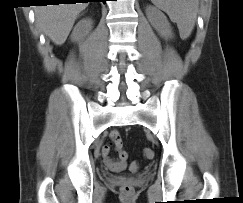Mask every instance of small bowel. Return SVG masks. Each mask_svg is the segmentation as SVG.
Masks as SVG:
<instances>
[{
	"label": "small bowel",
	"instance_id": "c3829d8e",
	"mask_svg": "<svg viewBox=\"0 0 243 203\" xmlns=\"http://www.w3.org/2000/svg\"><path fill=\"white\" fill-rule=\"evenodd\" d=\"M111 143L104 144L101 148V154L104 159L105 165L113 172L119 173L126 168V161L120 157V149L122 147V139L118 131H112L110 133ZM114 146L116 150L119 151V160H114L111 157V146ZM132 170L137 168V163H132L130 165Z\"/></svg>",
	"mask_w": 243,
	"mask_h": 203
}]
</instances>
